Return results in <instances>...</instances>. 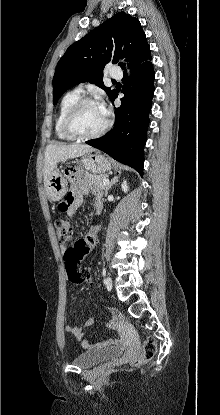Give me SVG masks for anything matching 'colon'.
<instances>
[{"mask_svg":"<svg viewBox=\"0 0 220 415\" xmlns=\"http://www.w3.org/2000/svg\"><path fill=\"white\" fill-rule=\"evenodd\" d=\"M65 206V202L60 204L61 208ZM54 227L59 241L62 244H68L72 239L70 222L67 219L59 218L55 221ZM89 251L90 247L86 241L84 239H78L64 252L66 272L71 283L80 284L90 280L89 271L81 267V261L88 255ZM156 351L157 345L155 340L148 338L143 344L142 353L132 361V364L134 366H140L152 360Z\"/></svg>","mask_w":220,"mask_h":415,"instance_id":"colon-1","label":"colon"}]
</instances>
